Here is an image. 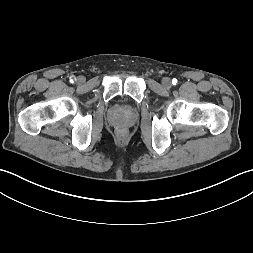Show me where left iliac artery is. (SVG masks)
Returning a JSON list of instances; mask_svg holds the SVG:
<instances>
[{"label":"left iliac artery","mask_w":253,"mask_h":253,"mask_svg":"<svg viewBox=\"0 0 253 253\" xmlns=\"http://www.w3.org/2000/svg\"><path fill=\"white\" fill-rule=\"evenodd\" d=\"M172 84H173V85H176V84H177V79L174 78V79L172 80Z\"/></svg>","instance_id":"left-iliac-artery-1"}]
</instances>
